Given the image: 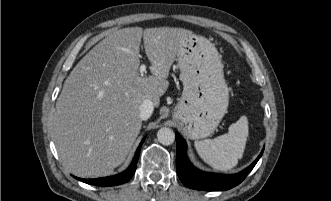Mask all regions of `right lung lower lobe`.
I'll return each mask as SVG.
<instances>
[{"label": "right lung lower lobe", "instance_id": "1", "mask_svg": "<svg viewBox=\"0 0 331 201\" xmlns=\"http://www.w3.org/2000/svg\"><path fill=\"white\" fill-rule=\"evenodd\" d=\"M143 142H144V139L141 141V143L135 153V156H134V159H133L131 165L124 172H122L118 175H115V176L104 177V178H97V179L77 178V179L84 183L91 184V185H97V186H115V185H121V184L127 182L128 180L131 179V177L135 173L141 145Z\"/></svg>", "mask_w": 331, "mask_h": 201}]
</instances>
